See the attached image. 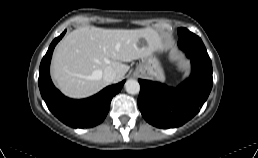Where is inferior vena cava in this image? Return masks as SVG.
I'll use <instances>...</instances> for the list:
<instances>
[{
	"mask_svg": "<svg viewBox=\"0 0 258 158\" xmlns=\"http://www.w3.org/2000/svg\"><path fill=\"white\" fill-rule=\"evenodd\" d=\"M116 78V72L113 68L111 67H107L104 69L103 71V79L110 83V82H113Z\"/></svg>",
	"mask_w": 258,
	"mask_h": 158,
	"instance_id": "602c4592",
	"label": "inferior vena cava"
}]
</instances>
